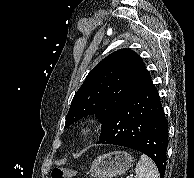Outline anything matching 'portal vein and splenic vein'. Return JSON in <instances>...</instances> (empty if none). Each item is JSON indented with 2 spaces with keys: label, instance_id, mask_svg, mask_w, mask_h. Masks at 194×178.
I'll list each match as a JSON object with an SVG mask.
<instances>
[{
  "label": "portal vein and splenic vein",
  "instance_id": "18ae733b",
  "mask_svg": "<svg viewBox=\"0 0 194 178\" xmlns=\"http://www.w3.org/2000/svg\"><path fill=\"white\" fill-rule=\"evenodd\" d=\"M126 178H133L132 176H127Z\"/></svg>",
  "mask_w": 194,
  "mask_h": 178
}]
</instances>
